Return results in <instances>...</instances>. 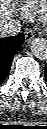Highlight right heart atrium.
I'll use <instances>...</instances> for the list:
<instances>
[{"mask_svg": "<svg viewBox=\"0 0 47 129\" xmlns=\"http://www.w3.org/2000/svg\"><path fill=\"white\" fill-rule=\"evenodd\" d=\"M19 16H20V18H22V19L26 18V14L23 13V12H20V13H19Z\"/></svg>", "mask_w": 47, "mask_h": 129, "instance_id": "right-heart-atrium-1", "label": "right heart atrium"}]
</instances>
